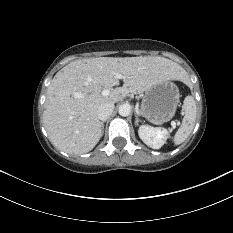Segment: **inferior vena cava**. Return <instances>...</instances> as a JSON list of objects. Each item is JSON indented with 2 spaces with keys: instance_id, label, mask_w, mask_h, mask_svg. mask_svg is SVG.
<instances>
[{
  "instance_id": "obj_1",
  "label": "inferior vena cava",
  "mask_w": 233,
  "mask_h": 233,
  "mask_svg": "<svg viewBox=\"0 0 233 233\" xmlns=\"http://www.w3.org/2000/svg\"><path fill=\"white\" fill-rule=\"evenodd\" d=\"M113 110H114L113 103L101 104L97 110L98 118L102 121L107 120L109 118V116L112 114Z\"/></svg>"
}]
</instances>
